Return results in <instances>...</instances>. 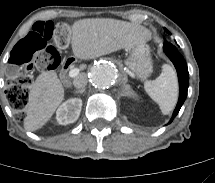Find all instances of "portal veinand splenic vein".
Instances as JSON below:
<instances>
[{"label": "portal vein and splenic vein", "mask_w": 215, "mask_h": 183, "mask_svg": "<svg viewBox=\"0 0 215 183\" xmlns=\"http://www.w3.org/2000/svg\"><path fill=\"white\" fill-rule=\"evenodd\" d=\"M79 72H80V69H79V68L71 69V70L69 71V76H70L71 78H74V77H76V76L79 74Z\"/></svg>", "instance_id": "obj_1"}]
</instances>
